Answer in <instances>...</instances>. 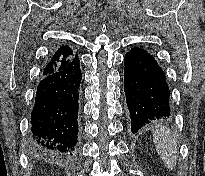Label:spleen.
Segmentation results:
<instances>
[{
    "label": "spleen",
    "mask_w": 205,
    "mask_h": 176,
    "mask_svg": "<svg viewBox=\"0 0 205 176\" xmlns=\"http://www.w3.org/2000/svg\"><path fill=\"white\" fill-rule=\"evenodd\" d=\"M153 140L165 166L173 170L178 155V141L175 134L168 127L158 125L153 130Z\"/></svg>",
    "instance_id": "obj_1"
}]
</instances>
